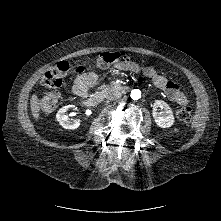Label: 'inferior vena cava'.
Wrapping results in <instances>:
<instances>
[{"label": "inferior vena cava", "mask_w": 221, "mask_h": 221, "mask_svg": "<svg viewBox=\"0 0 221 221\" xmlns=\"http://www.w3.org/2000/svg\"><path fill=\"white\" fill-rule=\"evenodd\" d=\"M121 97V93L120 92H111L108 94L107 98L110 99V100H116V99H119Z\"/></svg>", "instance_id": "602c4592"}]
</instances>
